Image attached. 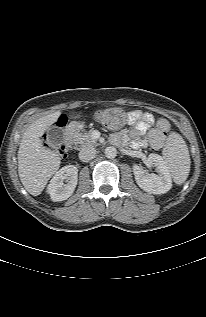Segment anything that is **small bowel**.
<instances>
[{
  "label": "small bowel",
  "instance_id": "c3829d8e",
  "mask_svg": "<svg viewBox=\"0 0 206 317\" xmlns=\"http://www.w3.org/2000/svg\"><path fill=\"white\" fill-rule=\"evenodd\" d=\"M129 122L134 127L129 132L116 134L114 138L121 141H130L136 148H144L150 145L154 149H160L165 136L170 130V123L160 118L155 120L151 113L135 110L129 113ZM146 135V138L144 137Z\"/></svg>",
  "mask_w": 206,
  "mask_h": 317
}]
</instances>
